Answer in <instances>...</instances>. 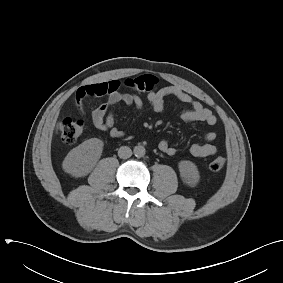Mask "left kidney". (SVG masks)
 <instances>
[{
	"mask_svg": "<svg viewBox=\"0 0 283 283\" xmlns=\"http://www.w3.org/2000/svg\"><path fill=\"white\" fill-rule=\"evenodd\" d=\"M180 175L183 180L190 186H195L199 182V171L197 166L188 160L180 161L178 164Z\"/></svg>",
	"mask_w": 283,
	"mask_h": 283,
	"instance_id": "left-kidney-1",
	"label": "left kidney"
}]
</instances>
